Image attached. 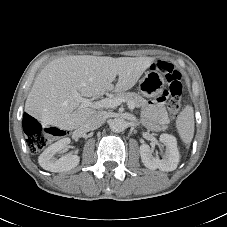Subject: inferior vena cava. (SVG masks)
Segmentation results:
<instances>
[{"label": "inferior vena cava", "instance_id": "obj_1", "mask_svg": "<svg viewBox=\"0 0 227 227\" xmlns=\"http://www.w3.org/2000/svg\"><path fill=\"white\" fill-rule=\"evenodd\" d=\"M106 114L103 111H98L88 118L85 126L89 130L99 128L106 121Z\"/></svg>", "mask_w": 227, "mask_h": 227}]
</instances>
